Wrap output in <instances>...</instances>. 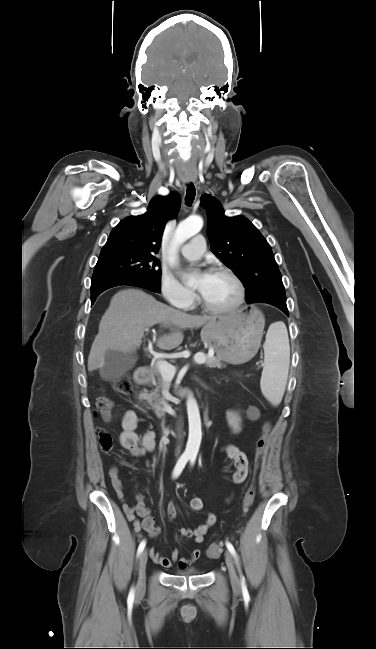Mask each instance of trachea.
Wrapping results in <instances>:
<instances>
[{"mask_svg": "<svg viewBox=\"0 0 376 649\" xmlns=\"http://www.w3.org/2000/svg\"><path fill=\"white\" fill-rule=\"evenodd\" d=\"M196 195V189L195 186L191 183L187 185V190H186V197L185 200L188 205L192 204Z\"/></svg>", "mask_w": 376, "mask_h": 649, "instance_id": "trachea-1", "label": "trachea"}]
</instances>
